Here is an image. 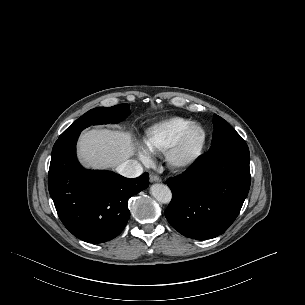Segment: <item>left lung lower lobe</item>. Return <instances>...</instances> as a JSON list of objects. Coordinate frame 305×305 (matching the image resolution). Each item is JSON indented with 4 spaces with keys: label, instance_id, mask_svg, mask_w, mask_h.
I'll use <instances>...</instances> for the list:
<instances>
[{
    "label": "left lung lower lobe",
    "instance_id": "0a47b994",
    "mask_svg": "<svg viewBox=\"0 0 305 305\" xmlns=\"http://www.w3.org/2000/svg\"><path fill=\"white\" fill-rule=\"evenodd\" d=\"M249 152L204 154L167 185L173 193L165 210L182 235L205 240L221 235L238 216L250 187Z\"/></svg>",
    "mask_w": 305,
    "mask_h": 305
}]
</instances>
